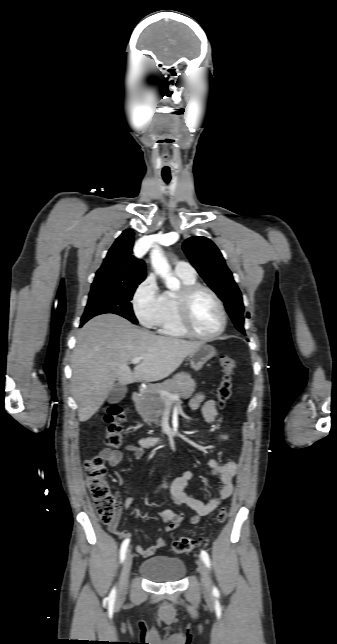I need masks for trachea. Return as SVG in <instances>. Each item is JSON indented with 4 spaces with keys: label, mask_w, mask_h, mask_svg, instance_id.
Segmentation results:
<instances>
[{
    "label": "trachea",
    "mask_w": 337,
    "mask_h": 644,
    "mask_svg": "<svg viewBox=\"0 0 337 644\" xmlns=\"http://www.w3.org/2000/svg\"><path fill=\"white\" fill-rule=\"evenodd\" d=\"M165 183H169L170 179H164Z\"/></svg>",
    "instance_id": "3493384b"
}]
</instances>
